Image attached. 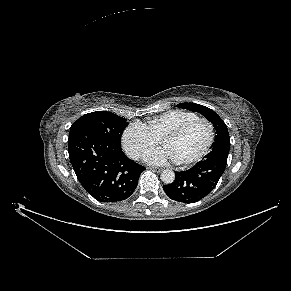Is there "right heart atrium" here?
Wrapping results in <instances>:
<instances>
[{
    "label": "right heart atrium",
    "mask_w": 291,
    "mask_h": 291,
    "mask_svg": "<svg viewBox=\"0 0 291 291\" xmlns=\"http://www.w3.org/2000/svg\"><path fill=\"white\" fill-rule=\"evenodd\" d=\"M122 142L127 154L133 159L138 160L147 151L158 145L160 140L146 125L135 122L125 129Z\"/></svg>",
    "instance_id": "d8ad5b80"
}]
</instances>
